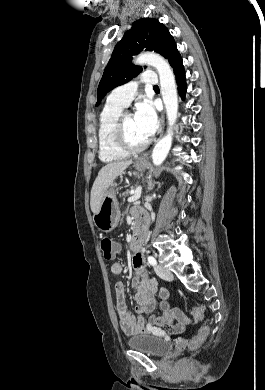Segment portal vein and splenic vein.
Returning <instances> with one entry per match:
<instances>
[{
  "label": "portal vein and splenic vein",
  "mask_w": 265,
  "mask_h": 390,
  "mask_svg": "<svg viewBox=\"0 0 265 390\" xmlns=\"http://www.w3.org/2000/svg\"><path fill=\"white\" fill-rule=\"evenodd\" d=\"M142 187L138 186L136 190H132V196L128 198V202H135L141 197Z\"/></svg>",
  "instance_id": "obj_1"
}]
</instances>
